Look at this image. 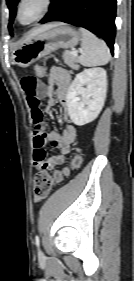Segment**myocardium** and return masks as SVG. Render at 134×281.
Returning <instances> with one entry per match:
<instances>
[{
  "instance_id": "1",
  "label": "myocardium",
  "mask_w": 134,
  "mask_h": 281,
  "mask_svg": "<svg viewBox=\"0 0 134 281\" xmlns=\"http://www.w3.org/2000/svg\"><path fill=\"white\" fill-rule=\"evenodd\" d=\"M26 1L27 0L18 1L17 6H16V13H15L16 21L23 26L33 25L36 22H38L39 20H41L49 12V10L51 9L52 4H53V0H41L42 7L39 10L38 14L29 22H22L20 19V10Z\"/></svg>"
}]
</instances>
